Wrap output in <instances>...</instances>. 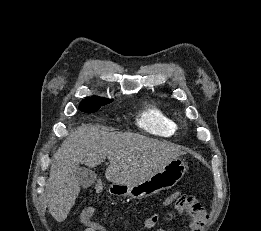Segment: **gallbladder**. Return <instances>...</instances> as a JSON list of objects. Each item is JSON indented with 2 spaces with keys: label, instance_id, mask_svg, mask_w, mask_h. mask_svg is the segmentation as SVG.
Masks as SVG:
<instances>
[{
  "label": "gallbladder",
  "instance_id": "1",
  "mask_svg": "<svg viewBox=\"0 0 261 231\" xmlns=\"http://www.w3.org/2000/svg\"><path fill=\"white\" fill-rule=\"evenodd\" d=\"M75 177L82 188L86 189L95 182L96 173L86 167H78L75 171Z\"/></svg>",
  "mask_w": 261,
  "mask_h": 231
}]
</instances>
